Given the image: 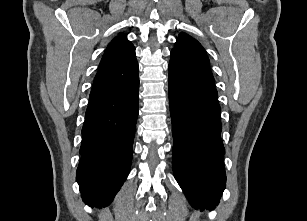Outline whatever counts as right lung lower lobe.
<instances>
[{
  "label": "right lung lower lobe",
  "instance_id": "right-lung-lower-lobe-1",
  "mask_svg": "<svg viewBox=\"0 0 307 221\" xmlns=\"http://www.w3.org/2000/svg\"><path fill=\"white\" fill-rule=\"evenodd\" d=\"M138 104L139 77L121 90L90 99L76 178L86 204L106 207L126 180Z\"/></svg>",
  "mask_w": 307,
  "mask_h": 221
}]
</instances>
